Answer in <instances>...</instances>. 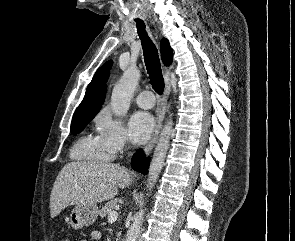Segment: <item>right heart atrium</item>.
<instances>
[{"mask_svg": "<svg viewBox=\"0 0 295 241\" xmlns=\"http://www.w3.org/2000/svg\"><path fill=\"white\" fill-rule=\"evenodd\" d=\"M95 125L98 136L112 157L123 152L129 145L127 131L122 121L114 118L107 108L96 115Z\"/></svg>", "mask_w": 295, "mask_h": 241, "instance_id": "obj_1", "label": "right heart atrium"}]
</instances>
